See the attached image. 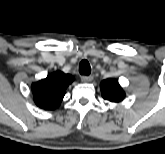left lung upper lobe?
Listing matches in <instances>:
<instances>
[{
    "label": "left lung upper lobe",
    "instance_id": "left-lung-upper-lobe-1",
    "mask_svg": "<svg viewBox=\"0 0 165 154\" xmlns=\"http://www.w3.org/2000/svg\"><path fill=\"white\" fill-rule=\"evenodd\" d=\"M102 97L111 102H120L125 97V92L115 79H106L100 85Z\"/></svg>",
    "mask_w": 165,
    "mask_h": 154
}]
</instances>
